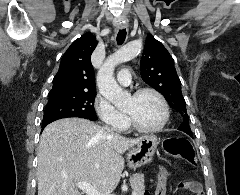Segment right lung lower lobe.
Returning a JSON list of instances; mask_svg holds the SVG:
<instances>
[{
    "label": "right lung lower lobe",
    "instance_id": "1",
    "mask_svg": "<svg viewBox=\"0 0 240 195\" xmlns=\"http://www.w3.org/2000/svg\"><path fill=\"white\" fill-rule=\"evenodd\" d=\"M86 119H89V118H86ZM89 120L96 121L97 119H89ZM47 125H48V124H47ZM47 125H42V131H43V129H44Z\"/></svg>",
    "mask_w": 240,
    "mask_h": 195
}]
</instances>
